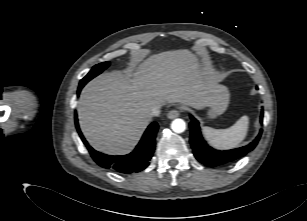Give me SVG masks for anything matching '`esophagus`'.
Returning a JSON list of instances; mask_svg holds the SVG:
<instances>
[{
	"label": "esophagus",
	"mask_w": 307,
	"mask_h": 221,
	"mask_svg": "<svg viewBox=\"0 0 307 221\" xmlns=\"http://www.w3.org/2000/svg\"><path fill=\"white\" fill-rule=\"evenodd\" d=\"M179 115H180V112H179L178 110H176V109L171 110V111H169V112L167 113V117H168L169 119L177 118Z\"/></svg>",
	"instance_id": "1"
}]
</instances>
